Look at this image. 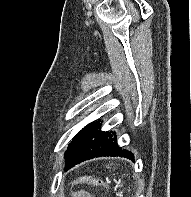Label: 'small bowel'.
Here are the masks:
<instances>
[{"label":"small bowel","mask_w":191,"mask_h":197,"mask_svg":"<svg viewBox=\"0 0 191 197\" xmlns=\"http://www.w3.org/2000/svg\"><path fill=\"white\" fill-rule=\"evenodd\" d=\"M76 197H94V196L87 191H80L76 194Z\"/></svg>","instance_id":"1"}]
</instances>
